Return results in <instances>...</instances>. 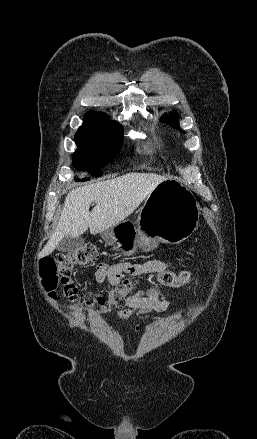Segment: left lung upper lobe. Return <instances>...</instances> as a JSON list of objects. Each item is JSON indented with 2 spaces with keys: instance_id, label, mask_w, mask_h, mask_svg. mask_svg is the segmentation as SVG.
I'll return each instance as SVG.
<instances>
[{
  "instance_id": "left-lung-upper-lobe-1",
  "label": "left lung upper lobe",
  "mask_w": 257,
  "mask_h": 439,
  "mask_svg": "<svg viewBox=\"0 0 257 439\" xmlns=\"http://www.w3.org/2000/svg\"><path fill=\"white\" fill-rule=\"evenodd\" d=\"M177 120H178V115L175 112H171L168 115L165 114L160 119V121L166 122L167 124L171 125L172 127L179 129V124H178Z\"/></svg>"
}]
</instances>
